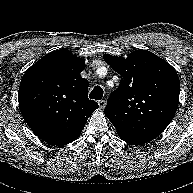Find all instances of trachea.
Returning a JSON list of instances; mask_svg holds the SVG:
<instances>
[{"label": "trachea", "instance_id": "obj_1", "mask_svg": "<svg viewBox=\"0 0 193 193\" xmlns=\"http://www.w3.org/2000/svg\"><path fill=\"white\" fill-rule=\"evenodd\" d=\"M102 97H103V90L100 86H95L94 89L89 94V98L94 100H101Z\"/></svg>", "mask_w": 193, "mask_h": 193}]
</instances>
